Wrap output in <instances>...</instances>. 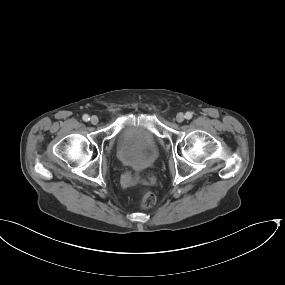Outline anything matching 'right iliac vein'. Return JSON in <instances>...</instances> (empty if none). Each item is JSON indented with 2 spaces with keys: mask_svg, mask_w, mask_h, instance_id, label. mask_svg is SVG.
Listing matches in <instances>:
<instances>
[{
  "mask_svg": "<svg viewBox=\"0 0 285 285\" xmlns=\"http://www.w3.org/2000/svg\"><path fill=\"white\" fill-rule=\"evenodd\" d=\"M90 121L93 125H96L99 123V118L97 116H92Z\"/></svg>",
  "mask_w": 285,
  "mask_h": 285,
  "instance_id": "right-iliac-vein-1",
  "label": "right iliac vein"
}]
</instances>
